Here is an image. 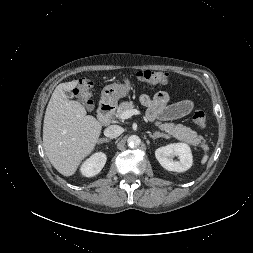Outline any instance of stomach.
<instances>
[{"label": "stomach", "instance_id": "obj_1", "mask_svg": "<svg viewBox=\"0 0 253 253\" xmlns=\"http://www.w3.org/2000/svg\"><path fill=\"white\" fill-rule=\"evenodd\" d=\"M130 86L126 80L125 84H110L103 88L101 99L108 104H115L120 98L126 97L129 93Z\"/></svg>", "mask_w": 253, "mask_h": 253}]
</instances>
